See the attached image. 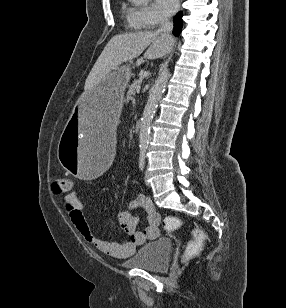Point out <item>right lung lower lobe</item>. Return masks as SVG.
I'll list each match as a JSON object with an SVG mask.
<instances>
[{"mask_svg":"<svg viewBox=\"0 0 286 308\" xmlns=\"http://www.w3.org/2000/svg\"><path fill=\"white\" fill-rule=\"evenodd\" d=\"M182 12H179L174 17V29L173 33L178 36L182 30Z\"/></svg>","mask_w":286,"mask_h":308,"instance_id":"98d812e1","label":"right lung lower lobe"}]
</instances>
